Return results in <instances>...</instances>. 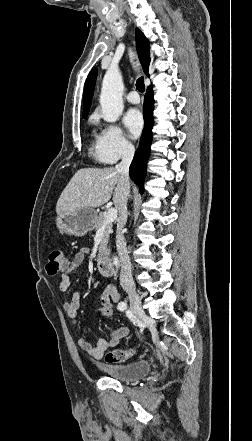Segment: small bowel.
Listing matches in <instances>:
<instances>
[{
	"label": "small bowel",
	"instance_id": "c3829d8e",
	"mask_svg": "<svg viewBox=\"0 0 252 441\" xmlns=\"http://www.w3.org/2000/svg\"><path fill=\"white\" fill-rule=\"evenodd\" d=\"M88 254L87 249H81L78 251L68 266L63 270L59 277L58 290L60 292H66L70 286V273L76 270L84 261ZM81 295L79 291H75L69 300H65L63 303V309L74 325H77V313L80 308ZM120 299L118 288L114 282H109L101 296L102 306L110 305L114 307ZM130 330L128 327H120L114 330L108 338L98 339L94 344L87 338L81 337L78 340L79 347L85 351L88 355L95 359H102L107 350L117 346L128 334Z\"/></svg>",
	"mask_w": 252,
	"mask_h": 441
}]
</instances>
